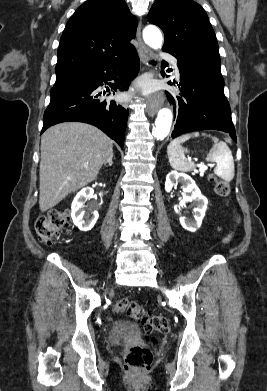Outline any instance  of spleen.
Segmentation results:
<instances>
[{"mask_svg": "<svg viewBox=\"0 0 267 391\" xmlns=\"http://www.w3.org/2000/svg\"><path fill=\"white\" fill-rule=\"evenodd\" d=\"M205 136V133H202ZM199 133L194 132L190 134H184L173 141L167 147V154L171 167L181 172H189L194 170L195 164L191 160L185 157L187 149L182 147V143L190 139L191 137H198ZM211 137L210 135H208ZM214 145L207 154V161L216 162L214 173L225 180L230 182L234 178L235 167L232 152L223 141H219L216 137H211Z\"/></svg>", "mask_w": 267, "mask_h": 391, "instance_id": "obj_1", "label": "spleen"}]
</instances>
